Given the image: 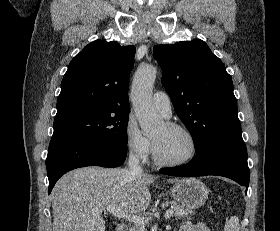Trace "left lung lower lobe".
Here are the masks:
<instances>
[{"label": "left lung lower lobe", "mask_w": 280, "mask_h": 231, "mask_svg": "<svg viewBox=\"0 0 280 231\" xmlns=\"http://www.w3.org/2000/svg\"><path fill=\"white\" fill-rule=\"evenodd\" d=\"M195 148L196 156L189 163L160 169V173L180 177L224 176L245 186L247 194L250 173L241 132L217 136L199 143Z\"/></svg>", "instance_id": "1"}]
</instances>
